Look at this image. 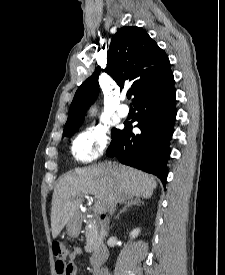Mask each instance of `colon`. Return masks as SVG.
I'll list each match as a JSON object with an SVG mask.
<instances>
[{
	"instance_id": "1",
	"label": "colon",
	"mask_w": 225,
	"mask_h": 275,
	"mask_svg": "<svg viewBox=\"0 0 225 275\" xmlns=\"http://www.w3.org/2000/svg\"><path fill=\"white\" fill-rule=\"evenodd\" d=\"M53 254L56 257V273L57 275H66L70 271L66 258L68 256V248L61 241H54L52 243Z\"/></svg>"
}]
</instances>
